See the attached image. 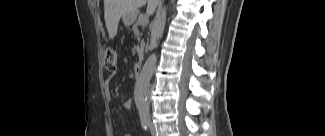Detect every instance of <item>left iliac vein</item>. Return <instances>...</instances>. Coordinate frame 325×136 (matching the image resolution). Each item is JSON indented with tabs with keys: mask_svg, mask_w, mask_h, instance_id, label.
Wrapping results in <instances>:
<instances>
[{
	"mask_svg": "<svg viewBox=\"0 0 325 136\" xmlns=\"http://www.w3.org/2000/svg\"><path fill=\"white\" fill-rule=\"evenodd\" d=\"M149 128H150V132L152 134H154L155 133V127H154L152 121L150 120V118H149Z\"/></svg>",
	"mask_w": 325,
	"mask_h": 136,
	"instance_id": "obj_1",
	"label": "left iliac vein"
}]
</instances>
